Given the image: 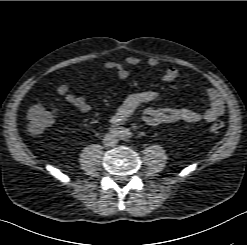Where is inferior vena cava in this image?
Returning <instances> with one entry per match:
<instances>
[{
  "mask_svg": "<svg viewBox=\"0 0 247 245\" xmlns=\"http://www.w3.org/2000/svg\"><path fill=\"white\" fill-rule=\"evenodd\" d=\"M117 141V138L113 134H107L104 138V143L106 146H114Z\"/></svg>",
  "mask_w": 247,
  "mask_h": 245,
  "instance_id": "602c4592",
  "label": "inferior vena cava"
}]
</instances>
